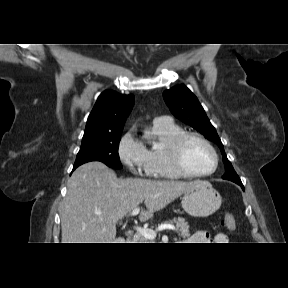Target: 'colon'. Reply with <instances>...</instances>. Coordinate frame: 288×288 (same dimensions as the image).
Masks as SVG:
<instances>
[{"mask_svg":"<svg viewBox=\"0 0 288 288\" xmlns=\"http://www.w3.org/2000/svg\"><path fill=\"white\" fill-rule=\"evenodd\" d=\"M222 224L227 230H234L236 226V221H235L234 216L231 213H226L224 215Z\"/></svg>","mask_w":288,"mask_h":288,"instance_id":"1","label":"colon"}]
</instances>
